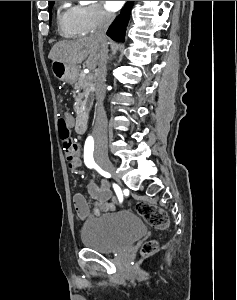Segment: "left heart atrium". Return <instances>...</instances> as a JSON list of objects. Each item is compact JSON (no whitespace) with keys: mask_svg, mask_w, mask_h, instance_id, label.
Instances as JSON below:
<instances>
[{"mask_svg":"<svg viewBox=\"0 0 237 300\" xmlns=\"http://www.w3.org/2000/svg\"><path fill=\"white\" fill-rule=\"evenodd\" d=\"M125 1H106V6L112 11H117L122 7Z\"/></svg>","mask_w":237,"mask_h":300,"instance_id":"left-heart-atrium-1","label":"left heart atrium"}]
</instances>
